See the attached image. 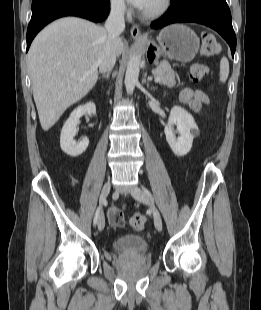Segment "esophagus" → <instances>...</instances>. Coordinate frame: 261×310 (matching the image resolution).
Segmentation results:
<instances>
[{
	"label": "esophagus",
	"instance_id": "esophagus-1",
	"mask_svg": "<svg viewBox=\"0 0 261 310\" xmlns=\"http://www.w3.org/2000/svg\"><path fill=\"white\" fill-rule=\"evenodd\" d=\"M131 37L136 40H144L146 37L141 33L138 25L134 24L130 30Z\"/></svg>",
	"mask_w": 261,
	"mask_h": 310
}]
</instances>
